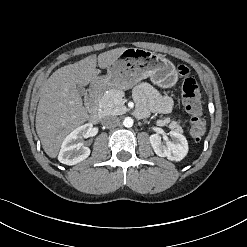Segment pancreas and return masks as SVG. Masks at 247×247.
Masks as SVG:
<instances>
[{
	"label": "pancreas",
	"mask_w": 247,
	"mask_h": 247,
	"mask_svg": "<svg viewBox=\"0 0 247 247\" xmlns=\"http://www.w3.org/2000/svg\"><path fill=\"white\" fill-rule=\"evenodd\" d=\"M123 92L118 89H110L107 91L102 98L100 99L99 106L104 114H122L127 109L124 106L123 101ZM170 118H163L157 121L158 126H164L169 124V128L179 133H183L182 127L178 122H170Z\"/></svg>",
	"instance_id": "obj_1"
}]
</instances>
